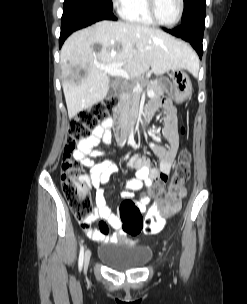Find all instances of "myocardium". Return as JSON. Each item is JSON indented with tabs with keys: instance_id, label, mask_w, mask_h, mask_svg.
Wrapping results in <instances>:
<instances>
[{
	"instance_id": "obj_1",
	"label": "myocardium",
	"mask_w": 247,
	"mask_h": 304,
	"mask_svg": "<svg viewBox=\"0 0 247 304\" xmlns=\"http://www.w3.org/2000/svg\"><path fill=\"white\" fill-rule=\"evenodd\" d=\"M156 1L155 0H146V6H147V11L151 19L153 20L154 23H156L159 26L162 27H167L171 28L176 26L182 19L183 13H184V8H185V2L184 0H179V13L177 18L171 22V23H163L159 20L157 13H156V7H155Z\"/></svg>"
}]
</instances>
